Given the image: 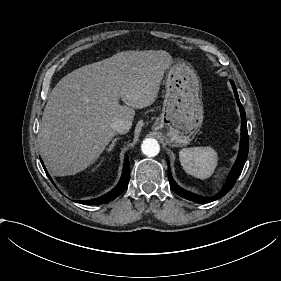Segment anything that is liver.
<instances>
[{
    "instance_id": "1",
    "label": "liver",
    "mask_w": 281,
    "mask_h": 281,
    "mask_svg": "<svg viewBox=\"0 0 281 281\" xmlns=\"http://www.w3.org/2000/svg\"><path fill=\"white\" fill-rule=\"evenodd\" d=\"M171 59L163 49L125 50L64 76L41 124L39 147L50 173L71 175L94 162L115 134L113 123L132 124L134 108L153 103Z\"/></svg>"
}]
</instances>
